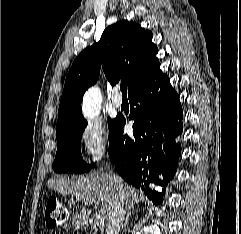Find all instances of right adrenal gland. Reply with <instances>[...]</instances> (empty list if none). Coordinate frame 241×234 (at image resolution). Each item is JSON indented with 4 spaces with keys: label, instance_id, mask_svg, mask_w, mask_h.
Returning a JSON list of instances; mask_svg holds the SVG:
<instances>
[{
    "label": "right adrenal gland",
    "instance_id": "right-adrenal-gland-1",
    "mask_svg": "<svg viewBox=\"0 0 241 234\" xmlns=\"http://www.w3.org/2000/svg\"><path fill=\"white\" fill-rule=\"evenodd\" d=\"M131 217V212H129L125 218V222L122 225V228H125L128 225L129 218Z\"/></svg>",
    "mask_w": 241,
    "mask_h": 234
}]
</instances>
